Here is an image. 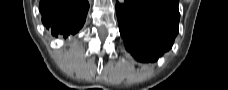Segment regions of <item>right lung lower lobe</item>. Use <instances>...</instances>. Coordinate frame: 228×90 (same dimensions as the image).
Instances as JSON below:
<instances>
[{
    "instance_id": "right-lung-lower-lobe-1",
    "label": "right lung lower lobe",
    "mask_w": 228,
    "mask_h": 90,
    "mask_svg": "<svg viewBox=\"0 0 228 90\" xmlns=\"http://www.w3.org/2000/svg\"><path fill=\"white\" fill-rule=\"evenodd\" d=\"M89 3L87 0H40L42 22L54 36L74 35L83 26Z\"/></svg>"
}]
</instances>
